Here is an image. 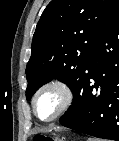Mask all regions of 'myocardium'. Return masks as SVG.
Segmentation results:
<instances>
[{
	"mask_svg": "<svg viewBox=\"0 0 119 141\" xmlns=\"http://www.w3.org/2000/svg\"><path fill=\"white\" fill-rule=\"evenodd\" d=\"M48 90H55L59 93L60 103L54 114H52L48 118H41L37 113L36 104H37V100L40 97V95H42L44 92ZM73 100H74V93L70 85L64 80L54 79V80H50L44 83L42 86H40L37 89V91L35 92L32 98V110H33L34 115L40 121L52 122L58 119L60 116H62L70 108V106L73 103Z\"/></svg>",
	"mask_w": 119,
	"mask_h": 141,
	"instance_id": "myocardium-1",
	"label": "myocardium"
}]
</instances>
